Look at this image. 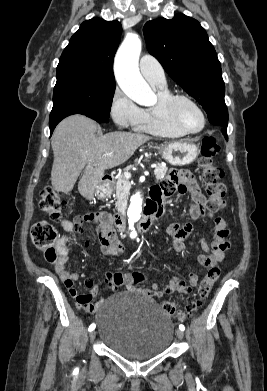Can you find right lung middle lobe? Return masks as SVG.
I'll list each match as a JSON object with an SVG mask.
<instances>
[{
	"instance_id": "dd1d6c3e",
	"label": "right lung middle lobe",
	"mask_w": 267,
	"mask_h": 391,
	"mask_svg": "<svg viewBox=\"0 0 267 391\" xmlns=\"http://www.w3.org/2000/svg\"><path fill=\"white\" fill-rule=\"evenodd\" d=\"M114 92V77L89 73L57 77L49 121L79 113L107 123Z\"/></svg>"
}]
</instances>
